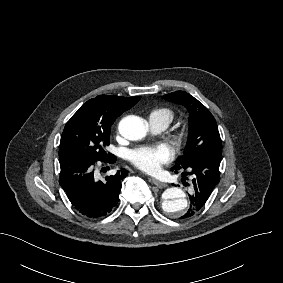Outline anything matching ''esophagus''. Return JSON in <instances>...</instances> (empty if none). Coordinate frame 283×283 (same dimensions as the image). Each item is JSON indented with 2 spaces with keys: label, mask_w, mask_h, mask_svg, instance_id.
I'll return each instance as SVG.
<instances>
[{
  "label": "esophagus",
  "mask_w": 283,
  "mask_h": 283,
  "mask_svg": "<svg viewBox=\"0 0 283 283\" xmlns=\"http://www.w3.org/2000/svg\"><path fill=\"white\" fill-rule=\"evenodd\" d=\"M151 180L159 188H165V187L168 186L166 183L161 182V181L157 180L156 178H151Z\"/></svg>",
  "instance_id": "34e87169"
}]
</instances>
